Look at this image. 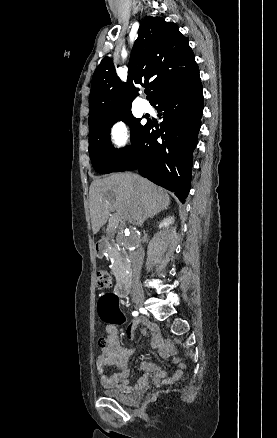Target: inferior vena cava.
Wrapping results in <instances>:
<instances>
[{
    "label": "inferior vena cava",
    "mask_w": 277,
    "mask_h": 438,
    "mask_svg": "<svg viewBox=\"0 0 277 438\" xmlns=\"http://www.w3.org/2000/svg\"><path fill=\"white\" fill-rule=\"evenodd\" d=\"M132 268H133V278H132V290L135 292V290H141V284L139 282V274L140 270L142 268V260H132Z\"/></svg>",
    "instance_id": "inferior-vena-cava-1"
}]
</instances>
